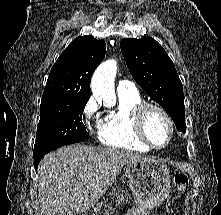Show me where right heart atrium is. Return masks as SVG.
<instances>
[{"instance_id":"obj_1","label":"right heart atrium","mask_w":221,"mask_h":215,"mask_svg":"<svg viewBox=\"0 0 221 215\" xmlns=\"http://www.w3.org/2000/svg\"><path fill=\"white\" fill-rule=\"evenodd\" d=\"M86 128L92 131L94 128L100 131L102 121L99 118V103L95 97H90L82 110Z\"/></svg>"}]
</instances>
